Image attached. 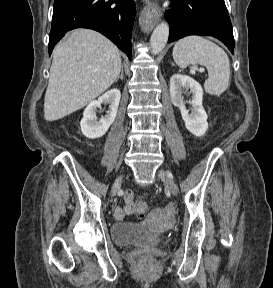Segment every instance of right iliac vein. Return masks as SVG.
Listing matches in <instances>:
<instances>
[{
  "label": "right iliac vein",
  "instance_id": "1",
  "mask_svg": "<svg viewBox=\"0 0 273 288\" xmlns=\"http://www.w3.org/2000/svg\"><path fill=\"white\" fill-rule=\"evenodd\" d=\"M121 180H122V176L118 177L115 180V182L113 184V187H112V193H115L119 189L120 184H121Z\"/></svg>",
  "mask_w": 273,
  "mask_h": 288
}]
</instances>
